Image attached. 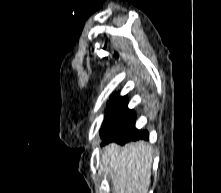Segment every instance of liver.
Masks as SVG:
<instances>
[{
	"label": "liver",
	"instance_id": "obj_1",
	"mask_svg": "<svg viewBox=\"0 0 221 193\" xmlns=\"http://www.w3.org/2000/svg\"><path fill=\"white\" fill-rule=\"evenodd\" d=\"M152 162L153 148L143 140L107 145L100 160L113 184L112 193H148Z\"/></svg>",
	"mask_w": 221,
	"mask_h": 193
}]
</instances>
